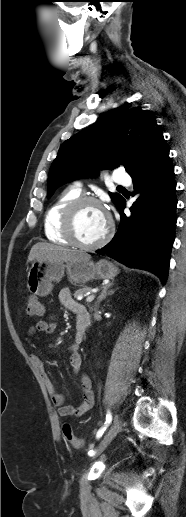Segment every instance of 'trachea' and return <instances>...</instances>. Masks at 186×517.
Masks as SVG:
<instances>
[{"label":"trachea","instance_id":"trachea-1","mask_svg":"<svg viewBox=\"0 0 186 517\" xmlns=\"http://www.w3.org/2000/svg\"><path fill=\"white\" fill-rule=\"evenodd\" d=\"M117 188H123L122 186H118Z\"/></svg>","mask_w":186,"mask_h":517}]
</instances>
